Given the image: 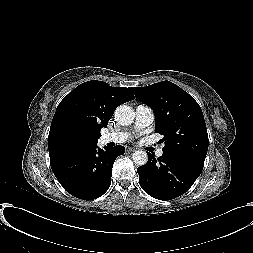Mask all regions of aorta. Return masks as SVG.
Segmentation results:
<instances>
[{
	"label": "aorta",
	"instance_id": "aorta-1",
	"mask_svg": "<svg viewBox=\"0 0 253 253\" xmlns=\"http://www.w3.org/2000/svg\"><path fill=\"white\" fill-rule=\"evenodd\" d=\"M135 118L134 110L127 105H120L115 110V120L119 125L127 126L133 123ZM132 159L134 163L138 166L145 165L148 161V155L143 150H137L133 153Z\"/></svg>",
	"mask_w": 253,
	"mask_h": 253
}]
</instances>
